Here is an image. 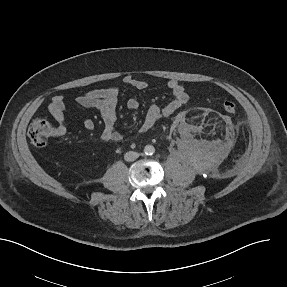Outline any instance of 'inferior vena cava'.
<instances>
[{
    "label": "inferior vena cava",
    "mask_w": 287,
    "mask_h": 287,
    "mask_svg": "<svg viewBox=\"0 0 287 287\" xmlns=\"http://www.w3.org/2000/svg\"><path fill=\"white\" fill-rule=\"evenodd\" d=\"M139 157V153L134 152V151H129L124 155V159L126 161H134Z\"/></svg>",
    "instance_id": "inferior-vena-cava-1"
}]
</instances>
